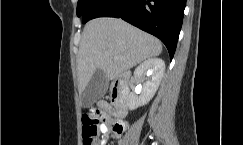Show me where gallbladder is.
I'll list each match as a JSON object with an SVG mask.
<instances>
[{
  "mask_svg": "<svg viewBox=\"0 0 243 145\" xmlns=\"http://www.w3.org/2000/svg\"><path fill=\"white\" fill-rule=\"evenodd\" d=\"M108 87V78L103 70L97 69L87 86L81 93V103L83 107H88L97 99L104 96Z\"/></svg>",
  "mask_w": 243,
  "mask_h": 145,
  "instance_id": "obj_1",
  "label": "gallbladder"
}]
</instances>
